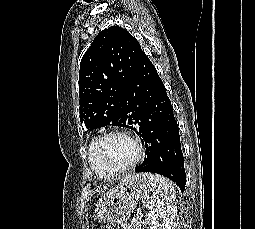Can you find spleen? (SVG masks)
<instances>
[{"mask_svg": "<svg viewBox=\"0 0 255 229\" xmlns=\"http://www.w3.org/2000/svg\"><path fill=\"white\" fill-rule=\"evenodd\" d=\"M154 180L158 186L152 192L148 203L151 206H164L169 205L175 200L174 184L166 177L155 175Z\"/></svg>", "mask_w": 255, "mask_h": 229, "instance_id": "obj_1", "label": "spleen"}]
</instances>
